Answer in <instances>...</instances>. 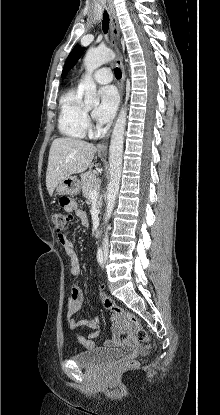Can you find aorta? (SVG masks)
I'll return each mask as SVG.
<instances>
[{
	"label": "aorta",
	"mask_w": 220,
	"mask_h": 415,
	"mask_svg": "<svg viewBox=\"0 0 220 415\" xmlns=\"http://www.w3.org/2000/svg\"><path fill=\"white\" fill-rule=\"evenodd\" d=\"M114 57V52L109 48L89 49L87 51L84 58L86 76L82 84L85 91V105L97 106L99 104L100 99L96 92V84L92 79V73L104 63L113 60ZM126 114V109L122 108L111 135L109 146L110 181L107 186L105 223L111 217L120 186Z\"/></svg>",
	"instance_id": "obj_1"
}]
</instances>
